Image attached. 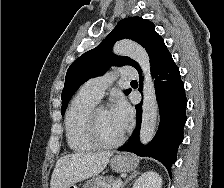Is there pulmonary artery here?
Returning a JSON list of instances; mask_svg holds the SVG:
<instances>
[{
	"instance_id": "obj_1",
	"label": "pulmonary artery",
	"mask_w": 224,
	"mask_h": 188,
	"mask_svg": "<svg viewBox=\"0 0 224 188\" xmlns=\"http://www.w3.org/2000/svg\"><path fill=\"white\" fill-rule=\"evenodd\" d=\"M118 76L123 79H136L138 78V72L133 67H122L119 71L107 73L88 80L83 85L82 90L93 98L100 100L105 90Z\"/></svg>"
}]
</instances>
